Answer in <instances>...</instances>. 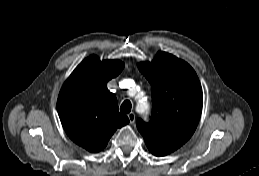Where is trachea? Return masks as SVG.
<instances>
[{"mask_svg": "<svg viewBox=\"0 0 259 176\" xmlns=\"http://www.w3.org/2000/svg\"><path fill=\"white\" fill-rule=\"evenodd\" d=\"M131 108V102L129 100H125L120 107V111L122 113H129L131 111Z\"/></svg>", "mask_w": 259, "mask_h": 176, "instance_id": "trachea-1", "label": "trachea"}]
</instances>
